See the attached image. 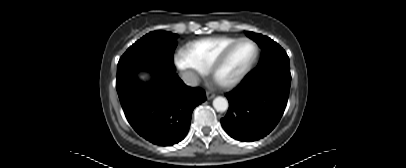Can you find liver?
<instances>
[{
	"label": "liver",
	"instance_id": "obj_1",
	"mask_svg": "<svg viewBox=\"0 0 406 168\" xmlns=\"http://www.w3.org/2000/svg\"><path fill=\"white\" fill-rule=\"evenodd\" d=\"M142 79H145V76H141Z\"/></svg>",
	"mask_w": 406,
	"mask_h": 168
}]
</instances>
